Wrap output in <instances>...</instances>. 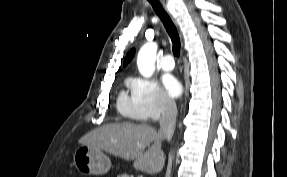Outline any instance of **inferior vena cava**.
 I'll return each mask as SVG.
<instances>
[{
  "label": "inferior vena cava",
  "mask_w": 287,
  "mask_h": 177,
  "mask_svg": "<svg viewBox=\"0 0 287 177\" xmlns=\"http://www.w3.org/2000/svg\"><path fill=\"white\" fill-rule=\"evenodd\" d=\"M176 117L177 107L175 101L170 98H165L163 100V107L160 118L159 135L161 138H164L168 141L171 140L176 126Z\"/></svg>",
  "instance_id": "inferior-vena-cava-1"
}]
</instances>
